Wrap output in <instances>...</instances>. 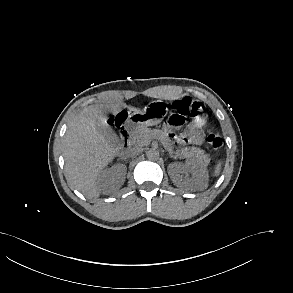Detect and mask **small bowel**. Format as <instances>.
<instances>
[{
	"mask_svg": "<svg viewBox=\"0 0 293 293\" xmlns=\"http://www.w3.org/2000/svg\"><path fill=\"white\" fill-rule=\"evenodd\" d=\"M205 122H206V119L204 116L198 117L197 119L193 120L190 123L183 138L182 139L177 138V140L180 143L188 142L194 145H201L203 143V137H204L203 127Z\"/></svg>",
	"mask_w": 293,
	"mask_h": 293,
	"instance_id": "obj_1",
	"label": "small bowel"
}]
</instances>
